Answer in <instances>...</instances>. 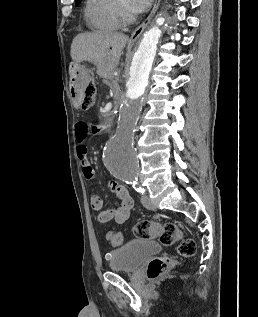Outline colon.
Wrapping results in <instances>:
<instances>
[{
    "label": "colon",
    "mask_w": 258,
    "mask_h": 317,
    "mask_svg": "<svg viewBox=\"0 0 258 317\" xmlns=\"http://www.w3.org/2000/svg\"><path fill=\"white\" fill-rule=\"evenodd\" d=\"M96 87L94 79L89 76L80 88V102L83 107H90L95 100ZM133 234L139 239H158L163 245L170 246L178 243L177 253L181 258H188L196 253V243L191 238H184L182 231L175 222L157 223L148 220L137 222L133 227ZM112 247L123 244L124 236L120 231H110L106 236ZM174 261L169 257H158L151 260L147 267L150 279L163 276L172 267Z\"/></svg>",
    "instance_id": "1"
}]
</instances>
